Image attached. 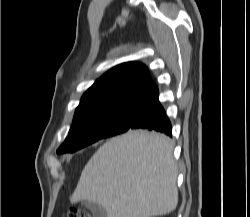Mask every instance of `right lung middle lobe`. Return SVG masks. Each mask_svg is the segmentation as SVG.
Listing matches in <instances>:
<instances>
[{
    "label": "right lung middle lobe",
    "mask_w": 250,
    "mask_h": 217,
    "mask_svg": "<svg viewBox=\"0 0 250 217\" xmlns=\"http://www.w3.org/2000/svg\"><path fill=\"white\" fill-rule=\"evenodd\" d=\"M139 108L140 105L120 106L74 118L69 135L57 153L74 152L99 139L126 132Z\"/></svg>",
    "instance_id": "right-lung-middle-lobe-1"
}]
</instances>
